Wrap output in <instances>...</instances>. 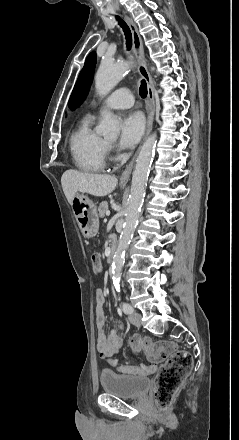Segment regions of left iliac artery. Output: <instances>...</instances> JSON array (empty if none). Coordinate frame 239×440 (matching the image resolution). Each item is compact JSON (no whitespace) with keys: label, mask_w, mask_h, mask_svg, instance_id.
<instances>
[{"label":"left iliac artery","mask_w":239,"mask_h":440,"mask_svg":"<svg viewBox=\"0 0 239 440\" xmlns=\"http://www.w3.org/2000/svg\"><path fill=\"white\" fill-rule=\"evenodd\" d=\"M117 291L119 292V288H117ZM121 307H122L123 312L126 314H131L133 312L132 306L126 302H123L121 304Z\"/></svg>","instance_id":"44dca946"}]
</instances>
